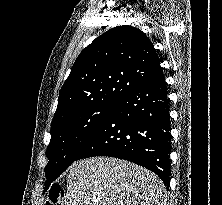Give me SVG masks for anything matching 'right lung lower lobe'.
I'll use <instances>...</instances> for the list:
<instances>
[{
  "label": "right lung lower lobe",
  "mask_w": 222,
  "mask_h": 205,
  "mask_svg": "<svg viewBox=\"0 0 222 205\" xmlns=\"http://www.w3.org/2000/svg\"><path fill=\"white\" fill-rule=\"evenodd\" d=\"M164 74L131 90L86 143L77 160L110 156L134 162L170 186L171 126Z\"/></svg>",
  "instance_id": "98d812e1"
}]
</instances>
